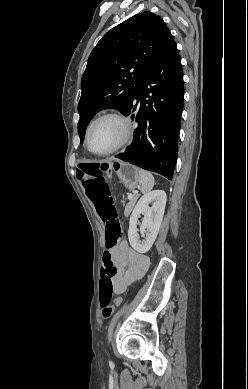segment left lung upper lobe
Here are the masks:
<instances>
[{"instance_id":"1","label":"left lung upper lobe","mask_w":248,"mask_h":389,"mask_svg":"<svg viewBox=\"0 0 248 389\" xmlns=\"http://www.w3.org/2000/svg\"><path fill=\"white\" fill-rule=\"evenodd\" d=\"M163 19L145 11L117 25L91 52L81 79L78 133L81 143L93 116L106 108L123 113L147 74L174 44Z\"/></svg>"}]
</instances>
